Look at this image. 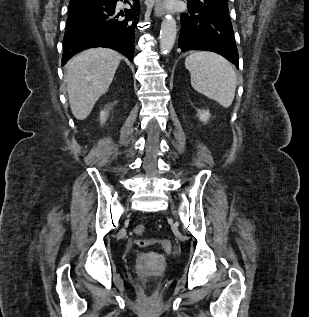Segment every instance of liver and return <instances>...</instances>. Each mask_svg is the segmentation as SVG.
<instances>
[{
	"label": "liver",
	"mask_w": 309,
	"mask_h": 317,
	"mask_svg": "<svg viewBox=\"0 0 309 317\" xmlns=\"http://www.w3.org/2000/svg\"><path fill=\"white\" fill-rule=\"evenodd\" d=\"M121 54L112 49H88L66 65L69 104L75 118L84 120L97 100L108 90Z\"/></svg>",
	"instance_id": "1"
}]
</instances>
